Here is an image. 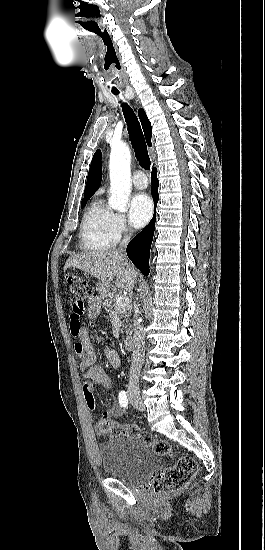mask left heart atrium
<instances>
[{
    "mask_svg": "<svg viewBox=\"0 0 265 550\" xmlns=\"http://www.w3.org/2000/svg\"><path fill=\"white\" fill-rule=\"evenodd\" d=\"M152 201L145 193L134 195L129 206V221L135 228L143 227L151 218Z\"/></svg>",
    "mask_w": 265,
    "mask_h": 550,
    "instance_id": "obj_1",
    "label": "left heart atrium"
}]
</instances>
